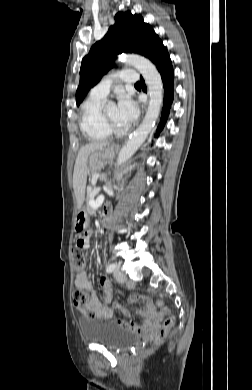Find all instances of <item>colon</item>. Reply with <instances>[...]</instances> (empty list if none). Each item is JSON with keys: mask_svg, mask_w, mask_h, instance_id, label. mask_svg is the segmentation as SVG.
Segmentation results:
<instances>
[{"mask_svg": "<svg viewBox=\"0 0 252 390\" xmlns=\"http://www.w3.org/2000/svg\"><path fill=\"white\" fill-rule=\"evenodd\" d=\"M83 223V222H81ZM84 240L80 238L77 242V245L72 250V261H73V269L76 274L81 273L84 270L86 259L84 254ZM88 294L85 290L77 288L73 292V302L75 306L83 313L85 317L94 316L93 309L88 304ZM134 298L137 300L140 298L139 295H135ZM147 300V298H145ZM175 324V316L169 314L164 320L161 329L154 336V344H161L166 338L169 330Z\"/></svg>", "mask_w": 252, "mask_h": 390, "instance_id": "1", "label": "colon"}]
</instances>
